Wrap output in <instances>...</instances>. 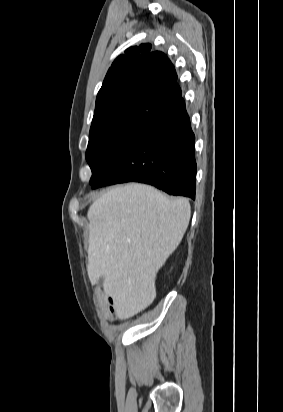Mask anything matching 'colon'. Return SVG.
<instances>
[{
  "instance_id": "1",
  "label": "colon",
  "mask_w": 283,
  "mask_h": 412,
  "mask_svg": "<svg viewBox=\"0 0 283 412\" xmlns=\"http://www.w3.org/2000/svg\"><path fill=\"white\" fill-rule=\"evenodd\" d=\"M109 314L112 320L118 319L122 315L120 308L113 299H109Z\"/></svg>"
}]
</instances>
